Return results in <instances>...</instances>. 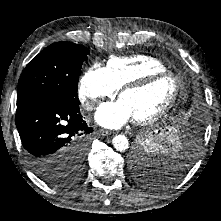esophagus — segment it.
Segmentation results:
<instances>
[{"mask_svg": "<svg viewBox=\"0 0 221 221\" xmlns=\"http://www.w3.org/2000/svg\"><path fill=\"white\" fill-rule=\"evenodd\" d=\"M100 133L103 135V136H108L111 134L110 131H106V130H100Z\"/></svg>", "mask_w": 221, "mask_h": 221, "instance_id": "34e87169", "label": "esophagus"}]
</instances>
